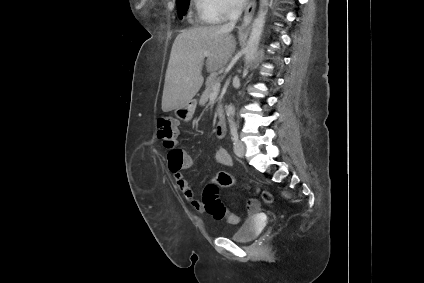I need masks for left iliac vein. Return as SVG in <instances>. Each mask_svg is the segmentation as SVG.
I'll use <instances>...</instances> for the list:
<instances>
[{"mask_svg":"<svg viewBox=\"0 0 424 283\" xmlns=\"http://www.w3.org/2000/svg\"><path fill=\"white\" fill-rule=\"evenodd\" d=\"M234 152L238 157L243 158L246 152L245 144L241 141H237L234 146Z\"/></svg>","mask_w":424,"mask_h":283,"instance_id":"4c4485c4","label":"left iliac vein"}]
</instances>
